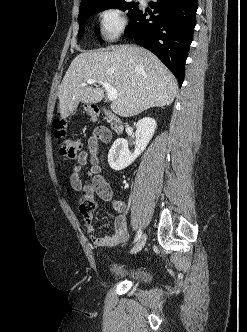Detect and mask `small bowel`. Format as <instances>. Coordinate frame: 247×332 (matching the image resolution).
Listing matches in <instances>:
<instances>
[{
  "label": "small bowel",
  "mask_w": 247,
  "mask_h": 332,
  "mask_svg": "<svg viewBox=\"0 0 247 332\" xmlns=\"http://www.w3.org/2000/svg\"><path fill=\"white\" fill-rule=\"evenodd\" d=\"M111 140V133L105 127L94 130L88 141V149L80 152L76 158L69 181L73 190L81 193L85 200H94L95 196L111 204L112 209L117 213L112 226L113 234L105 237L95 235L94 227L89 220H86L88 237L93 247H113L125 242L128 238L127 219L124 215L126 204L122 199L113 196L111 187L106 175L102 170L99 159V143H107ZM91 166L86 172L87 179H83L85 166Z\"/></svg>",
  "instance_id": "c3829d8e"
}]
</instances>
